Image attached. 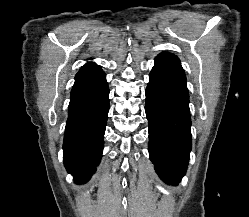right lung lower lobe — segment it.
Wrapping results in <instances>:
<instances>
[{
  "label": "right lung lower lobe",
  "mask_w": 249,
  "mask_h": 217,
  "mask_svg": "<svg viewBox=\"0 0 249 217\" xmlns=\"http://www.w3.org/2000/svg\"><path fill=\"white\" fill-rule=\"evenodd\" d=\"M106 75L95 63L76 74L71 90L63 142L64 165L76 183L95 173L103 151V136L109 111Z\"/></svg>",
  "instance_id": "98d812e1"
}]
</instances>
